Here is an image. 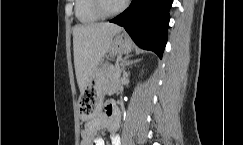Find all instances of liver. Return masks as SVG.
Here are the masks:
<instances>
[{"mask_svg":"<svg viewBox=\"0 0 243 145\" xmlns=\"http://www.w3.org/2000/svg\"><path fill=\"white\" fill-rule=\"evenodd\" d=\"M122 28L112 23L76 25L73 28L74 66L80 92L110 50L113 37Z\"/></svg>","mask_w":243,"mask_h":145,"instance_id":"obj_1","label":"liver"}]
</instances>
